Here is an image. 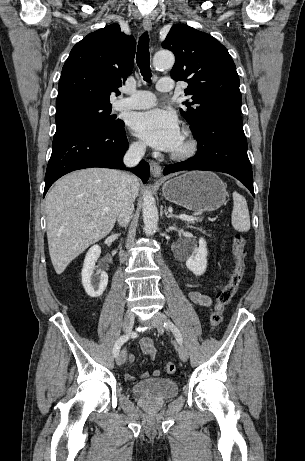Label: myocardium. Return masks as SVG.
Segmentation results:
<instances>
[{"instance_id":"myocardium-1","label":"myocardium","mask_w":305,"mask_h":461,"mask_svg":"<svg viewBox=\"0 0 305 461\" xmlns=\"http://www.w3.org/2000/svg\"><path fill=\"white\" fill-rule=\"evenodd\" d=\"M182 140V148L174 150L171 154L173 159L184 160L192 157L197 152L198 144L189 131H184Z\"/></svg>"}]
</instances>
